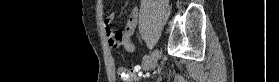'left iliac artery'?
Segmentation results:
<instances>
[{"mask_svg":"<svg viewBox=\"0 0 279 82\" xmlns=\"http://www.w3.org/2000/svg\"><path fill=\"white\" fill-rule=\"evenodd\" d=\"M148 58H149V55L146 54V55L143 57V61L148 60ZM135 70H136V71L140 70V66H136V67H135Z\"/></svg>","mask_w":279,"mask_h":82,"instance_id":"left-iliac-artery-1","label":"left iliac artery"}]
</instances>
